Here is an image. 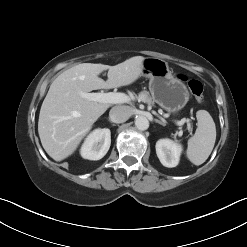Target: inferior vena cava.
I'll return each mask as SVG.
<instances>
[{"label":"inferior vena cava","instance_id":"inferior-vena-cava-1","mask_svg":"<svg viewBox=\"0 0 247 247\" xmlns=\"http://www.w3.org/2000/svg\"><path fill=\"white\" fill-rule=\"evenodd\" d=\"M109 115L113 122L123 123L132 115V109L129 106H114Z\"/></svg>","mask_w":247,"mask_h":247}]
</instances>
